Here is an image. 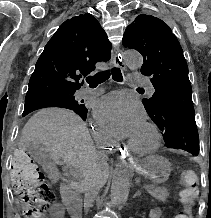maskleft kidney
Listing matches in <instances>:
<instances>
[{
  "mask_svg": "<svg viewBox=\"0 0 211 218\" xmlns=\"http://www.w3.org/2000/svg\"><path fill=\"white\" fill-rule=\"evenodd\" d=\"M162 211L161 207H154L153 210H151L152 218H161L162 214L160 213Z\"/></svg>",
  "mask_w": 211,
  "mask_h": 218,
  "instance_id": "1",
  "label": "left kidney"
}]
</instances>
